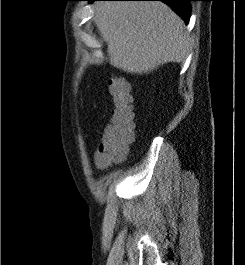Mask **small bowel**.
<instances>
[{"label":"small bowel","mask_w":245,"mask_h":265,"mask_svg":"<svg viewBox=\"0 0 245 265\" xmlns=\"http://www.w3.org/2000/svg\"><path fill=\"white\" fill-rule=\"evenodd\" d=\"M95 162H96V165H97L98 167H100V168L105 167V165L101 164V163L98 161L96 155H95Z\"/></svg>","instance_id":"obj_1"}]
</instances>
